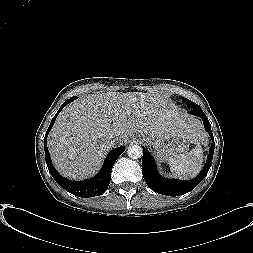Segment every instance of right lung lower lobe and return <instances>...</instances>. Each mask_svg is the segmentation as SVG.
<instances>
[{
  "label": "right lung lower lobe",
  "instance_id": "right-lung-lower-lobe-1",
  "mask_svg": "<svg viewBox=\"0 0 253 253\" xmlns=\"http://www.w3.org/2000/svg\"><path fill=\"white\" fill-rule=\"evenodd\" d=\"M75 99H76V97H72V98L66 100L63 103V105L59 108L57 114L51 120V123L49 125V128H48L45 138H44L46 163H47L49 172L52 175V177L66 191H68L76 196L84 197V198L99 196V195L103 194L106 191V189L108 188L110 180H111L112 167H113L115 161L118 159V157L124 152V150H125L124 147H119V148L111 150L108 153L100 172L95 177H93L89 180L83 181V182H73V181H70V180L62 177L55 170L54 166L52 165L49 151L47 148V136H48V133L51 130L52 126L54 125L57 115L61 112V110L67 104H69L70 102H72Z\"/></svg>",
  "mask_w": 253,
  "mask_h": 253
}]
</instances>
